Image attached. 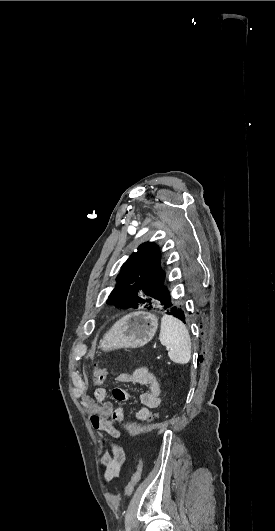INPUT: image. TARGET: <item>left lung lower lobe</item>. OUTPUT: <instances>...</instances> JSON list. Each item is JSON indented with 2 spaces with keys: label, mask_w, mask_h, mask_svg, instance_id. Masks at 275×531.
Masks as SVG:
<instances>
[{
  "label": "left lung lower lobe",
  "mask_w": 275,
  "mask_h": 531,
  "mask_svg": "<svg viewBox=\"0 0 275 531\" xmlns=\"http://www.w3.org/2000/svg\"><path fill=\"white\" fill-rule=\"evenodd\" d=\"M166 314L172 315L185 323V313L182 309V305L171 303L168 307H164Z\"/></svg>",
  "instance_id": "1"
}]
</instances>
